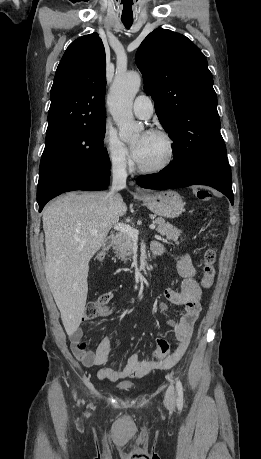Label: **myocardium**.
Returning a JSON list of instances; mask_svg holds the SVG:
<instances>
[{
  "label": "myocardium",
  "instance_id": "1",
  "mask_svg": "<svg viewBox=\"0 0 261 459\" xmlns=\"http://www.w3.org/2000/svg\"><path fill=\"white\" fill-rule=\"evenodd\" d=\"M150 134L156 135L165 141L167 146V155L162 162L154 166H142L138 163L137 169L144 174H155L164 171L172 164L176 153L175 142L168 132L164 130L153 129L150 131Z\"/></svg>",
  "mask_w": 261,
  "mask_h": 459
}]
</instances>
